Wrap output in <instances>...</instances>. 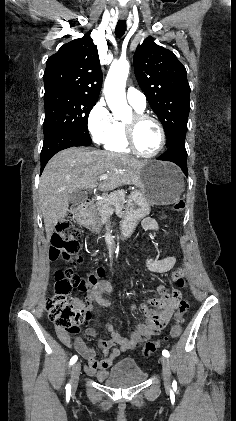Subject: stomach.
I'll use <instances>...</instances> for the list:
<instances>
[{
  "label": "stomach",
  "mask_w": 236,
  "mask_h": 421,
  "mask_svg": "<svg viewBox=\"0 0 236 421\" xmlns=\"http://www.w3.org/2000/svg\"><path fill=\"white\" fill-rule=\"evenodd\" d=\"M137 186L139 190H132L120 221L123 239L133 235L139 221L149 215L151 204H173L179 198L184 186L183 174L171 162L149 158L139 170Z\"/></svg>",
  "instance_id": "0dacf381"
}]
</instances>
